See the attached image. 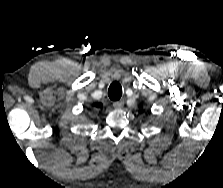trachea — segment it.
I'll use <instances>...</instances> for the list:
<instances>
[{"label":"trachea","mask_w":223,"mask_h":188,"mask_svg":"<svg viewBox=\"0 0 223 188\" xmlns=\"http://www.w3.org/2000/svg\"><path fill=\"white\" fill-rule=\"evenodd\" d=\"M108 96L112 101H117L122 96V87L118 82H114L108 89Z\"/></svg>","instance_id":"trachea-1"}]
</instances>
